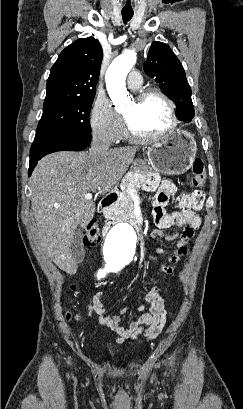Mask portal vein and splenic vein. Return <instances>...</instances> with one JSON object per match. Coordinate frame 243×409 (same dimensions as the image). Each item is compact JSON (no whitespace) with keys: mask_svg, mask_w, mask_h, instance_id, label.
I'll return each mask as SVG.
<instances>
[{"mask_svg":"<svg viewBox=\"0 0 243 409\" xmlns=\"http://www.w3.org/2000/svg\"><path fill=\"white\" fill-rule=\"evenodd\" d=\"M129 193H130V195H135V194H137V192H136L134 189H130V190H129ZM85 199L91 200V199H92V194H91V193H87V194L85 195Z\"/></svg>","mask_w":243,"mask_h":409,"instance_id":"1","label":"portal vein and splenic vein"}]
</instances>
